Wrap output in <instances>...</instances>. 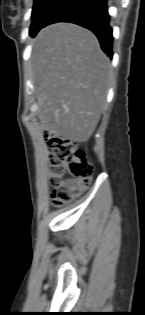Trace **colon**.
<instances>
[{
  "label": "colon",
  "mask_w": 145,
  "mask_h": 315,
  "mask_svg": "<svg viewBox=\"0 0 145 315\" xmlns=\"http://www.w3.org/2000/svg\"><path fill=\"white\" fill-rule=\"evenodd\" d=\"M50 147V187L53 205L65 206L90 182L93 166L77 143L57 133L46 131ZM69 174L71 178H66Z\"/></svg>",
  "instance_id": "colon-1"
}]
</instances>
